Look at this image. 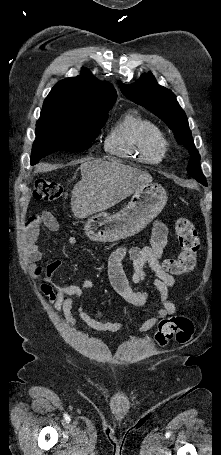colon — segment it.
<instances>
[{
	"label": "colon",
	"instance_id": "1",
	"mask_svg": "<svg viewBox=\"0 0 221 455\" xmlns=\"http://www.w3.org/2000/svg\"><path fill=\"white\" fill-rule=\"evenodd\" d=\"M67 196L64 188L57 182L37 179L34 182L33 197L38 201L52 203ZM180 253L176 258L163 261V269L170 275H182L190 272L197 261L200 239L193 223L187 218H178L175 223ZM194 337V325L185 316H172L162 319L157 326L155 340L159 346H166L175 340L179 344H188Z\"/></svg>",
	"mask_w": 221,
	"mask_h": 455
}]
</instances>
